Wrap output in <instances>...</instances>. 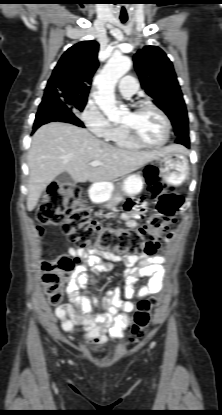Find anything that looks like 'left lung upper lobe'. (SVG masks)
Wrapping results in <instances>:
<instances>
[{"instance_id": "5c2ea615", "label": "left lung upper lobe", "mask_w": 222, "mask_h": 415, "mask_svg": "<svg viewBox=\"0 0 222 415\" xmlns=\"http://www.w3.org/2000/svg\"><path fill=\"white\" fill-rule=\"evenodd\" d=\"M141 86L172 122L176 137L188 136V116L172 62L157 46H145L133 58Z\"/></svg>"}]
</instances>
